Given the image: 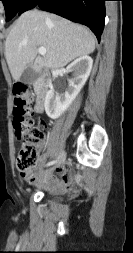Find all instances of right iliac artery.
I'll list each match as a JSON object with an SVG mask.
<instances>
[{"instance_id":"82829eb1","label":"right iliac artery","mask_w":133,"mask_h":253,"mask_svg":"<svg viewBox=\"0 0 133 253\" xmlns=\"http://www.w3.org/2000/svg\"><path fill=\"white\" fill-rule=\"evenodd\" d=\"M56 162H57V160L50 161L46 164V166H51V165L55 164Z\"/></svg>"}]
</instances>
